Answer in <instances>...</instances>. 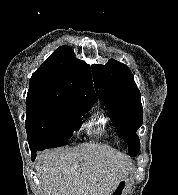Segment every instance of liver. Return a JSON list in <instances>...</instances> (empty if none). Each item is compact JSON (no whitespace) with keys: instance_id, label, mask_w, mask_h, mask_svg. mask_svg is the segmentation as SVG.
<instances>
[{"instance_id":"1","label":"liver","mask_w":178,"mask_h":195,"mask_svg":"<svg viewBox=\"0 0 178 195\" xmlns=\"http://www.w3.org/2000/svg\"><path fill=\"white\" fill-rule=\"evenodd\" d=\"M123 155L97 144L46 151L35 169L42 195H111L128 170Z\"/></svg>"}]
</instances>
